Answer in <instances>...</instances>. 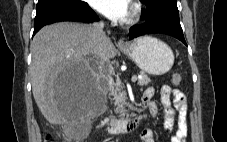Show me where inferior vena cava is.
Instances as JSON below:
<instances>
[{"mask_svg":"<svg viewBox=\"0 0 227 142\" xmlns=\"http://www.w3.org/2000/svg\"><path fill=\"white\" fill-rule=\"evenodd\" d=\"M91 28H92V38L96 43L106 38L105 32L103 31V28H104L103 22L101 21L94 22L91 25Z\"/></svg>","mask_w":227,"mask_h":142,"instance_id":"obj_1","label":"inferior vena cava"}]
</instances>
